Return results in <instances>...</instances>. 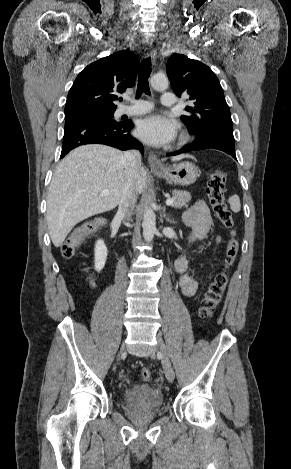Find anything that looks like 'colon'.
<instances>
[{
    "label": "colon",
    "mask_w": 291,
    "mask_h": 469,
    "mask_svg": "<svg viewBox=\"0 0 291 469\" xmlns=\"http://www.w3.org/2000/svg\"><path fill=\"white\" fill-rule=\"evenodd\" d=\"M226 179L227 176L224 171L216 170L211 175L207 186V193L213 212L221 224L230 230V238L225 252L224 270L215 275L203 295L199 309V314L202 320H208L214 314L218 304L220 303L228 283L227 271L233 265L239 249L238 241L233 230V218L227 208L224 198ZM101 224V219H95L86 221L77 226L62 245L63 256L66 258H72L76 254L77 249L83 240L94 233ZM140 377L143 381H150L152 378L151 370L148 367L142 368L140 371Z\"/></svg>",
    "instance_id": "5ec220e1"
}]
</instances>
